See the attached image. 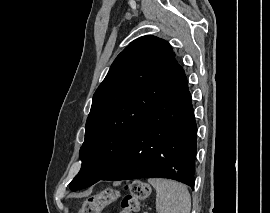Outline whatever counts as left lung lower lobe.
<instances>
[{"mask_svg":"<svg viewBox=\"0 0 270 213\" xmlns=\"http://www.w3.org/2000/svg\"><path fill=\"white\" fill-rule=\"evenodd\" d=\"M197 126L185 73L137 127L101 180L162 177L194 187Z\"/></svg>","mask_w":270,"mask_h":213,"instance_id":"obj_1","label":"left lung lower lobe"}]
</instances>
